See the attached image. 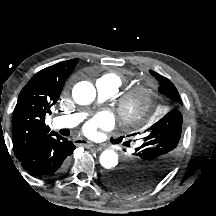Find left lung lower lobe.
<instances>
[{
  "mask_svg": "<svg viewBox=\"0 0 216 216\" xmlns=\"http://www.w3.org/2000/svg\"><path fill=\"white\" fill-rule=\"evenodd\" d=\"M112 142H115V141H113L112 140ZM125 165V162H123V164H122V166H121V168L123 167ZM122 172V170H120L119 172H112V173H107V174H105V176H104V178H103V180H104V182L108 185V183H107V180L114 174V173H121ZM109 186V185H108ZM110 187V186H109ZM113 189V188H112ZM119 193V192H118ZM121 194V193H120ZM124 195V194H123Z\"/></svg>",
  "mask_w": 216,
  "mask_h": 216,
  "instance_id": "0a47b994",
  "label": "left lung lower lobe"
}]
</instances>
